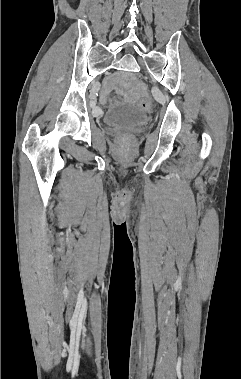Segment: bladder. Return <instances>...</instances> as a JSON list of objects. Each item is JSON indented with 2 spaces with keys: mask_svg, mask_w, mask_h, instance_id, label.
Returning a JSON list of instances; mask_svg holds the SVG:
<instances>
[{
  "mask_svg": "<svg viewBox=\"0 0 241 379\" xmlns=\"http://www.w3.org/2000/svg\"><path fill=\"white\" fill-rule=\"evenodd\" d=\"M148 120V115L143 110L127 105H117L110 108L104 115L103 121L110 126L135 128L143 125Z\"/></svg>",
  "mask_w": 241,
  "mask_h": 379,
  "instance_id": "obj_1",
  "label": "bladder"
}]
</instances>
